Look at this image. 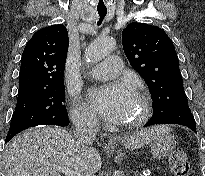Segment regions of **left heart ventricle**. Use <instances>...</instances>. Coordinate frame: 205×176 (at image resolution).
Instances as JSON below:
<instances>
[{
    "label": "left heart ventricle",
    "mask_w": 205,
    "mask_h": 176,
    "mask_svg": "<svg viewBox=\"0 0 205 176\" xmlns=\"http://www.w3.org/2000/svg\"><path fill=\"white\" fill-rule=\"evenodd\" d=\"M142 111V106L140 101L137 97H135L131 103V105L128 107L126 112L124 113L123 117L119 120L121 123H127L130 121H133L137 119Z\"/></svg>",
    "instance_id": "b2bd125f"
}]
</instances>
